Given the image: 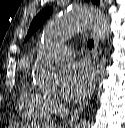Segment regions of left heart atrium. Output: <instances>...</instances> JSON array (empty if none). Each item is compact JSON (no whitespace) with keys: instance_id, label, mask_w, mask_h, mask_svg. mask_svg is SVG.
I'll return each instance as SVG.
<instances>
[{"instance_id":"1","label":"left heart atrium","mask_w":125,"mask_h":128,"mask_svg":"<svg viewBox=\"0 0 125 128\" xmlns=\"http://www.w3.org/2000/svg\"><path fill=\"white\" fill-rule=\"evenodd\" d=\"M93 81L94 73L88 63L68 64L61 71L60 94L68 102H78L90 92Z\"/></svg>"}]
</instances>
